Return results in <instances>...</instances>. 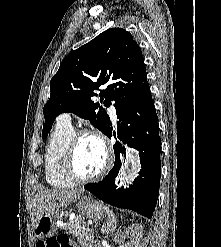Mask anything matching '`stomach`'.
<instances>
[{
    "instance_id": "1",
    "label": "stomach",
    "mask_w": 221,
    "mask_h": 247,
    "mask_svg": "<svg viewBox=\"0 0 221 247\" xmlns=\"http://www.w3.org/2000/svg\"><path fill=\"white\" fill-rule=\"evenodd\" d=\"M76 208L83 216L94 220L104 218L107 213V208L104 205L87 196L77 199ZM61 215L62 212L59 210L44 213L34 225L35 237L43 239L54 235L58 227L57 221Z\"/></svg>"
}]
</instances>
